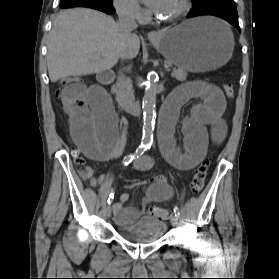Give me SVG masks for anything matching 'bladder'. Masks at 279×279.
Here are the masks:
<instances>
[{
    "mask_svg": "<svg viewBox=\"0 0 279 279\" xmlns=\"http://www.w3.org/2000/svg\"><path fill=\"white\" fill-rule=\"evenodd\" d=\"M167 230L165 221L152 217H141L132 225L118 224L116 233L125 241L134 244H146L161 239Z\"/></svg>",
    "mask_w": 279,
    "mask_h": 279,
    "instance_id": "bladder-1",
    "label": "bladder"
}]
</instances>
